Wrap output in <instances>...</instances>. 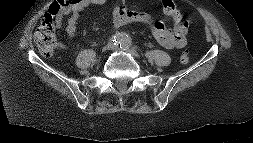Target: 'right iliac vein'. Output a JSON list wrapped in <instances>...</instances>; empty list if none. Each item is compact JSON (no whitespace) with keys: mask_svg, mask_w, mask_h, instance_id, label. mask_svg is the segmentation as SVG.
I'll list each match as a JSON object with an SVG mask.
<instances>
[{"mask_svg":"<svg viewBox=\"0 0 253 143\" xmlns=\"http://www.w3.org/2000/svg\"><path fill=\"white\" fill-rule=\"evenodd\" d=\"M112 48V45L111 44H108V45H105V46H103V48H102V52L103 53H105V52H107L109 49H111Z\"/></svg>","mask_w":253,"mask_h":143,"instance_id":"right-iliac-vein-1","label":"right iliac vein"}]
</instances>
